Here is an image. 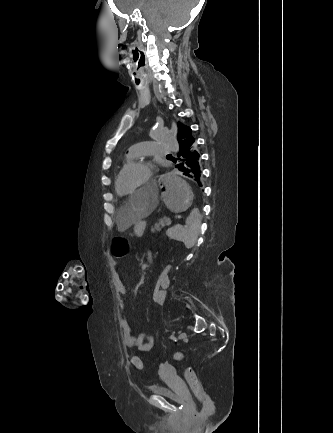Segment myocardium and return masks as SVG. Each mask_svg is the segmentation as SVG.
Returning a JSON list of instances; mask_svg holds the SVG:
<instances>
[{"label":"myocardium","mask_w":333,"mask_h":433,"mask_svg":"<svg viewBox=\"0 0 333 433\" xmlns=\"http://www.w3.org/2000/svg\"><path fill=\"white\" fill-rule=\"evenodd\" d=\"M135 167H145L148 169V175L146 177V179L134 190L128 193H123L120 190V179L121 177L125 174V172H127L128 170L135 168ZM152 171H153V166L152 164L147 161V160H135V161H131L129 164H127L121 171L120 173L117 175L116 177V191L119 195L122 196H131L133 194H135L139 189H142L146 186H148L151 183V176H152Z\"/></svg>","instance_id":"myocardium-1"}]
</instances>
